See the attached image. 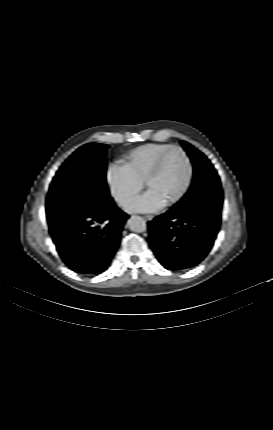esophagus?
Segmentation results:
<instances>
[{
    "label": "esophagus",
    "mask_w": 273,
    "mask_h": 430,
    "mask_svg": "<svg viewBox=\"0 0 273 430\" xmlns=\"http://www.w3.org/2000/svg\"><path fill=\"white\" fill-rule=\"evenodd\" d=\"M144 218L148 221L153 220V216L152 215H145Z\"/></svg>",
    "instance_id": "1"
}]
</instances>
